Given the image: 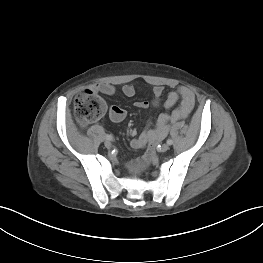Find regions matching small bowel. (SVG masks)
<instances>
[{
	"instance_id": "obj_1",
	"label": "small bowel",
	"mask_w": 263,
	"mask_h": 263,
	"mask_svg": "<svg viewBox=\"0 0 263 263\" xmlns=\"http://www.w3.org/2000/svg\"><path fill=\"white\" fill-rule=\"evenodd\" d=\"M94 90L105 95L111 96L115 93V87L111 84H98L94 86ZM122 92L127 97L135 95V87L132 84H126L122 88ZM164 92L162 86L153 88V101H137L135 106L139 109H147L150 105L156 107L160 104ZM179 101V105L170 114H161L156 123L155 128L149 126L141 133L140 136L131 140V147L140 149L151 141H155L164 137L168 131L170 122H177L185 119L191 113L195 105V96L187 87H179L178 89L168 93L164 105L166 108H172ZM126 116V111L119 106H111L109 109V117L113 122H121Z\"/></svg>"
}]
</instances>
